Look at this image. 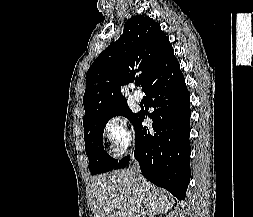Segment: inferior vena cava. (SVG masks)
I'll list each match as a JSON object with an SVG mask.
<instances>
[{
    "instance_id": "602c4592",
    "label": "inferior vena cava",
    "mask_w": 253,
    "mask_h": 217,
    "mask_svg": "<svg viewBox=\"0 0 253 217\" xmlns=\"http://www.w3.org/2000/svg\"><path fill=\"white\" fill-rule=\"evenodd\" d=\"M131 172L135 175L140 176V167L139 164L133 159V165L131 167Z\"/></svg>"
}]
</instances>
